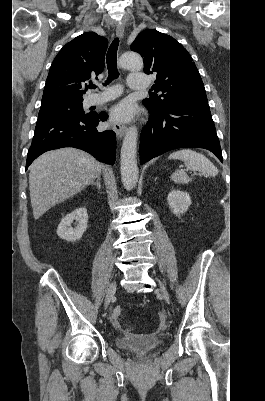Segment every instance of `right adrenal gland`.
Listing matches in <instances>:
<instances>
[{"label": "right adrenal gland", "mask_w": 265, "mask_h": 401, "mask_svg": "<svg viewBox=\"0 0 265 401\" xmlns=\"http://www.w3.org/2000/svg\"><path fill=\"white\" fill-rule=\"evenodd\" d=\"M92 186L93 184H96L97 188H101V176H97L95 182H91Z\"/></svg>", "instance_id": "1"}]
</instances>
